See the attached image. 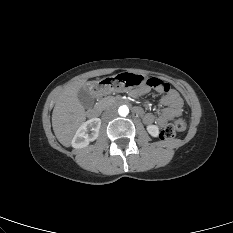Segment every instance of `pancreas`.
Instances as JSON below:
<instances>
[{
	"mask_svg": "<svg viewBox=\"0 0 233 233\" xmlns=\"http://www.w3.org/2000/svg\"><path fill=\"white\" fill-rule=\"evenodd\" d=\"M112 98L111 97H106V98H103V99H101L100 101H99V104L100 105H105V106H107V105H109V104H111L112 103Z\"/></svg>",
	"mask_w": 233,
	"mask_h": 233,
	"instance_id": "pancreas-1",
	"label": "pancreas"
}]
</instances>
